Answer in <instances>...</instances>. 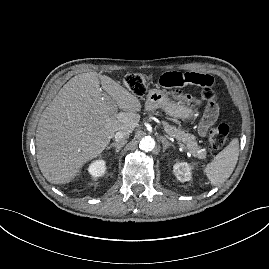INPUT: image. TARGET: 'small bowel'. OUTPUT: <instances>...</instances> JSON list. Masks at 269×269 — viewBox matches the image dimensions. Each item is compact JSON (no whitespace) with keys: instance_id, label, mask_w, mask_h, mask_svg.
<instances>
[{"instance_id":"1","label":"small bowel","mask_w":269,"mask_h":269,"mask_svg":"<svg viewBox=\"0 0 269 269\" xmlns=\"http://www.w3.org/2000/svg\"><path fill=\"white\" fill-rule=\"evenodd\" d=\"M169 71L166 74H161L157 78V83L161 87L172 89L176 87H185L190 93L198 100L208 103L204 117L199 125V133L204 135L210 125H212L218 118L219 108L216 104L204 101L201 98V91L204 88L216 89V83L212 77L208 74L200 75L197 72L191 73H178ZM183 99H187L186 96H181Z\"/></svg>"}]
</instances>
